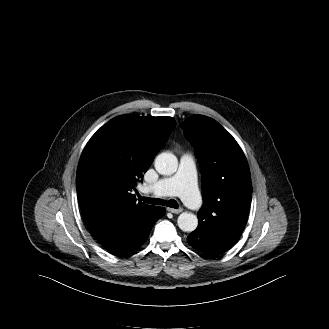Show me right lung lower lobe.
<instances>
[{"instance_id":"1","label":"right lung lower lobe","mask_w":329,"mask_h":329,"mask_svg":"<svg viewBox=\"0 0 329 329\" xmlns=\"http://www.w3.org/2000/svg\"><path fill=\"white\" fill-rule=\"evenodd\" d=\"M163 207H151L135 213L106 216L90 226L91 234L112 254L119 256L139 248L153 225L163 217Z\"/></svg>"}]
</instances>
